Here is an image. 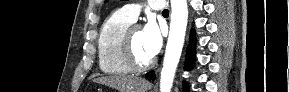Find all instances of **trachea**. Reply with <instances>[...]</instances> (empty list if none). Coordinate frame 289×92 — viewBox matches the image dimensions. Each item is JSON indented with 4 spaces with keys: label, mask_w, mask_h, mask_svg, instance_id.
Here are the masks:
<instances>
[{
    "label": "trachea",
    "mask_w": 289,
    "mask_h": 92,
    "mask_svg": "<svg viewBox=\"0 0 289 92\" xmlns=\"http://www.w3.org/2000/svg\"><path fill=\"white\" fill-rule=\"evenodd\" d=\"M162 13H163V14H168V13H169V10L164 9Z\"/></svg>",
    "instance_id": "obj_1"
}]
</instances>
